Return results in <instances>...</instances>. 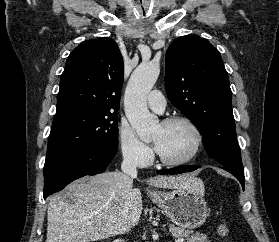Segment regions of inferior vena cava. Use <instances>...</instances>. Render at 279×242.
I'll use <instances>...</instances> for the list:
<instances>
[{
	"label": "inferior vena cava",
	"instance_id": "1",
	"mask_svg": "<svg viewBox=\"0 0 279 242\" xmlns=\"http://www.w3.org/2000/svg\"><path fill=\"white\" fill-rule=\"evenodd\" d=\"M121 170L124 174L128 175L131 179L137 177V164L132 156L128 155L124 157V160L121 164Z\"/></svg>",
	"mask_w": 279,
	"mask_h": 242
}]
</instances>
